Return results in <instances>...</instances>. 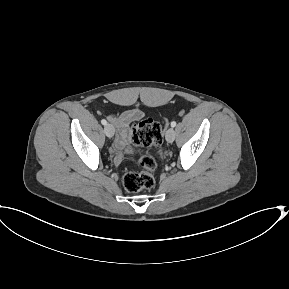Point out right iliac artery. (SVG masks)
<instances>
[{"mask_svg":"<svg viewBox=\"0 0 289 289\" xmlns=\"http://www.w3.org/2000/svg\"><path fill=\"white\" fill-rule=\"evenodd\" d=\"M101 123H102L103 125H106V124H107V121H106L105 119H102V120H101Z\"/></svg>","mask_w":289,"mask_h":289,"instance_id":"right-iliac-artery-1","label":"right iliac artery"}]
</instances>
